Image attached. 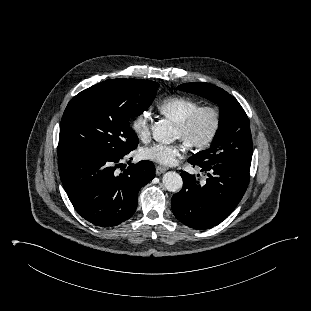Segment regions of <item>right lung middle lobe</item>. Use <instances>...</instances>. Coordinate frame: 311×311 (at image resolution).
<instances>
[{
    "label": "right lung middle lobe",
    "instance_id": "dd1d6c3e",
    "mask_svg": "<svg viewBox=\"0 0 311 311\" xmlns=\"http://www.w3.org/2000/svg\"><path fill=\"white\" fill-rule=\"evenodd\" d=\"M158 87L157 82L149 80L113 79L80 92L64 111L58 157L127 155L138 146V137L129 121L151 105Z\"/></svg>",
    "mask_w": 311,
    "mask_h": 311
}]
</instances>
